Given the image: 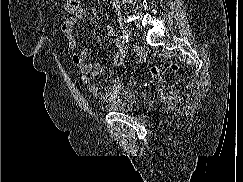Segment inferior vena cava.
Instances as JSON below:
<instances>
[{
  "instance_id": "obj_1",
  "label": "inferior vena cava",
  "mask_w": 243,
  "mask_h": 182,
  "mask_svg": "<svg viewBox=\"0 0 243 182\" xmlns=\"http://www.w3.org/2000/svg\"><path fill=\"white\" fill-rule=\"evenodd\" d=\"M113 7L118 11L119 10V0H111Z\"/></svg>"
}]
</instances>
